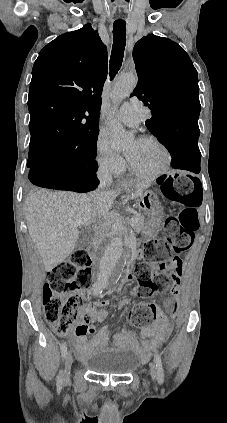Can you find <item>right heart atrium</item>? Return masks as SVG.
Returning <instances> with one entry per match:
<instances>
[{
	"label": "right heart atrium",
	"mask_w": 227,
	"mask_h": 423,
	"mask_svg": "<svg viewBox=\"0 0 227 423\" xmlns=\"http://www.w3.org/2000/svg\"><path fill=\"white\" fill-rule=\"evenodd\" d=\"M95 160L102 170L114 176L122 175L127 168L125 159L111 147L108 137L102 133L96 137Z\"/></svg>",
	"instance_id": "obj_1"
}]
</instances>
